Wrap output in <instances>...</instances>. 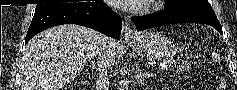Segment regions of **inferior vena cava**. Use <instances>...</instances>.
Masks as SVG:
<instances>
[{"instance_id":"1","label":"inferior vena cava","mask_w":237,"mask_h":90,"mask_svg":"<svg viewBox=\"0 0 237 90\" xmlns=\"http://www.w3.org/2000/svg\"><path fill=\"white\" fill-rule=\"evenodd\" d=\"M103 44L100 46L97 54H99V58L93 56L92 60H97L95 62L97 76L95 78V90H109V78H108V70H110L111 66H113L115 62V50L117 48L115 42L112 44L110 42V38H106V36H102ZM109 42V46H105Z\"/></svg>"}]
</instances>
